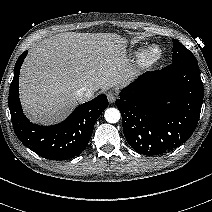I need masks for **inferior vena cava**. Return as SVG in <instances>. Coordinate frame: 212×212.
<instances>
[{
    "label": "inferior vena cava",
    "mask_w": 212,
    "mask_h": 212,
    "mask_svg": "<svg viewBox=\"0 0 212 212\" xmlns=\"http://www.w3.org/2000/svg\"><path fill=\"white\" fill-rule=\"evenodd\" d=\"M94 96V90L86 87H82L75 92V97L79 102H86L92 99Z\"/></svg>",
    "instance_id": "602c4592"
}]
</instances>
